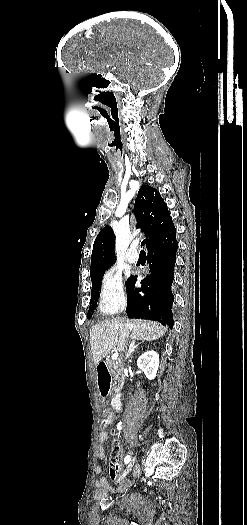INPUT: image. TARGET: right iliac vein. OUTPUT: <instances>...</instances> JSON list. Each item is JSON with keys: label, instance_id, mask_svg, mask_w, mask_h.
<instances>
[{"label": "right iliac vein", "instance_id": "right-iliac-vein-1", "mask_svg": "<svg viewBox=\"0 0 247 525\" xmlns=\"http://www.w3.org/2000/svg\"><path fill=\"white\" fill-rule=\"evenodd\" d=\"M135 460H136V457H133L132 461L129 463V465L126 467L125 471L123 472V474L121 475V478L120 479H123L124 477H126V475L130 472V470L132 469L134 463H135Z\"/></svg>", "mask_w": 247, "mask_h": 525}]
</instances>
